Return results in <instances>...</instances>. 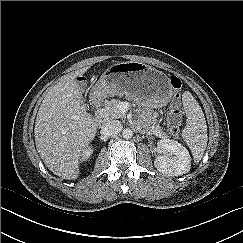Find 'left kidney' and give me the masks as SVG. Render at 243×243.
<instances>
[{"instance_id":"1","label":"left kidney","mask_w":243,"mask_h":243,"mask_svg":"<svg viewBox=\"0 0 243 243\" xmlns=\"http://www.w3.org/2000/svg\"><path fill=\"white\" fill-rule=\"evenodd\" d=\"M160 153L154 161L159 172L169 176H179L189 172L191 157L188 150L179 142L162 139L157 143Z\"/></svg>"}]
</instances>
